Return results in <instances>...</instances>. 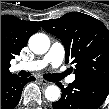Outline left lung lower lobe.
<instances>
[{"label": "left lung lower lobe", "instance_id": "1", "mask_svg": "<svg viewBox=\"0 0 109 109\" xmlns=\"http://www.w3.org/2000/svg\"><path fill=\"white\" fill-rule=\"evenodd\" d=\"M61 99L52 103L53 109H98L109 94V87L85 79L75 81L64 88Z\"/></svg>", "mask_w": 109, "mask_h": 109}]
</instances>
